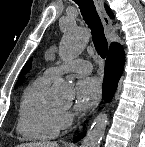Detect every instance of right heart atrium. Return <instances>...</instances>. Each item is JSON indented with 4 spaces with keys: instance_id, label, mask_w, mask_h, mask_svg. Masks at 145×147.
<instances>
[{
    "instance_id": "d8ad5b80",
    "label": "right heart atrium",
    "mask_w": 145,
    "mask_h": 147,
    "mask_svg": "<svg viewBox=\"0 0 145 147\" xmlns=\"http://www.w3.org/2000/svg\"><path fill=\"white\" fill-rule=\"evenodd\" d=\"M72 121V113L69 109H62L59 117V129L63 130L70 126Z\"/></svg>"
}]
</instances>
